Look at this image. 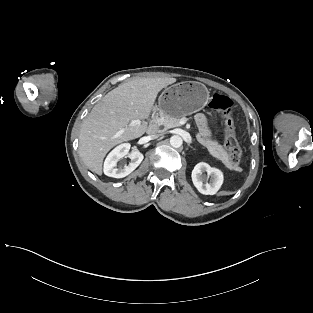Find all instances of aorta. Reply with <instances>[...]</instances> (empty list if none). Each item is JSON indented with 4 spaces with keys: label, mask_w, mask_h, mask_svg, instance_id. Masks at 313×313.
Returning <instances> with one entry per match:
<instances>
[{
    "label": "aorta",
    "mask_w": 313,
    "mask_h": 313,
    "mask_svg": "<svg viewBox=\"0 0 313 313\" xmlns=\"http://www.w3.org/2000/svg\"><path fill=\"white\" fill-rule=\"evenodd\" d=\"M182 143H183V140H182V138L179 135L171 136L170 144H171L172 147L179 148V147H181Z\"/></svg>",
    "instance_id": "aorta-1"
}]
</instances>
